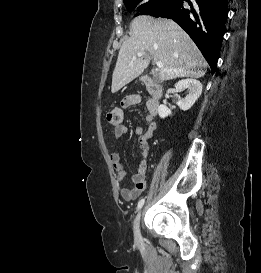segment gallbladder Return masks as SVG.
I'll list each match as a JSON object with an SVG mask.
<instances>
[{"label":"gallbladder","mask_w":261,"mask_h":273,"mask_svg":"<svg viewBox=\"0 0 261 273\" xmlns=\"http://www.w3.org/2000/svg\"><path fill=\"white\" fill-rule=\"evenodd\" d=\"M150 74H151L153 77L155 76V75H154L155 73H154L153 71H152Z\"/></svg>","instance_id":"bac80fb5"}]
</instances>
